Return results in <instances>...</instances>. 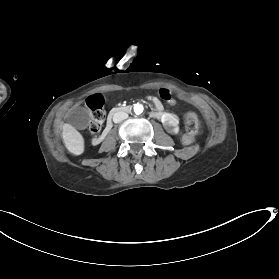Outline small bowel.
Instances as JSON below:
<instances>
[{
  "instance_id": "c3829d8e",
  "label": "small bowel",
  "mask_w": 279,
  "mask_h": 279,
  "mask_svg": "<svg viewBox=\"0 0 279 279\" xmlns=\"http://www.w3.org/2000/svg\"><path fill=\"white\" fill-rule=\"evenodd\" d=\"M160 98L166 101L169 104H174L175 99L173 98L171 92L168 89H161L159 91ZM154 104V111H153V116L156 118H162L164 116L163 112V104L160 99L156 97L151 98Z\"/></svg>"
}]
</instances>
